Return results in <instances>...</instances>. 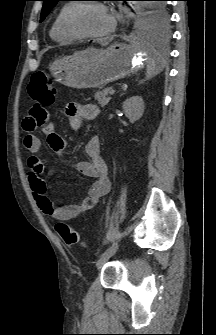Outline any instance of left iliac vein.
Masks as SVG:
<instances>
[{"label": "left iliac vein", "mask_w": 216, "mask_h": 335, "mask_svg": "<svg viewBox=\"0 0 216 335\" xmlns=\"http://www.w3.org/2000/svg\"><path fill=\"white\" fill-rule=\"evenodd\" d=\"M109 258L110 255L100 257L96 263L97 268H101L109 260Z\"/></svg>", "instance_id": "1"}]
</instances>
